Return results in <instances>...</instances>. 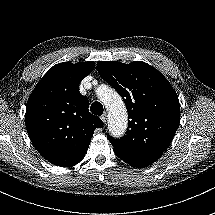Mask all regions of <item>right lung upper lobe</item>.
Wrapping results in <instances>:
<instances>
[{"label":"right lung upper lobe","mask_w":215,"mask_h":215,"mask_svg":"<svg viewBox=\"0 0 215 215\" xmlns=\"http://www.w3.org/2000/svg\"><path fill=\"white\" fill-rule=\"evenodd\" d=\"M94 62L54 65L29 96L25 122L36 150L61 167L79 163L87 153L94 130L102 120L89 113V100L79 84L94 69Z\"/></svg>","instance_id":"obj_1"}]
</instances>
